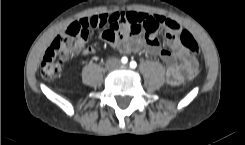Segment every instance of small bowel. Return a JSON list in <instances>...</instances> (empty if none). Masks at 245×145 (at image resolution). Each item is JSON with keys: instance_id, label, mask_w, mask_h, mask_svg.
Instances as JSON below:
<instances>
[{"instance_id": "small-bowel-1", "label": "small bowel", "mask_w": 245, "mask_h": 145, "mask_svg": "<svg viewBox=\"0 0 245 145\" xmlns=\"http://www.w3.org/2000/svg\"><path fill=\"white\" fill-rule=\"evenodd\" d=\"M158 16L160 15L138 11L112 12L104 14V25L97 27L103 28L100 37L121 53H129L144 47L149 54L160 56L167 66V81L171 85H179L198 72L199 64L196 57L182 44L177 31L171 30L168 24L164 23L163 27L168 29L165 33L168 49L161 47L159 38L153 32H144L145 34L140 37H129L128 35L130 23L134 22L144 27L148 25L149 17ZM117 32L120 34L118 35ZM81 46L84 52L79 58L93 52L92 47L85 45V41L81 42Z\"/></svg>"}]
</instances>
